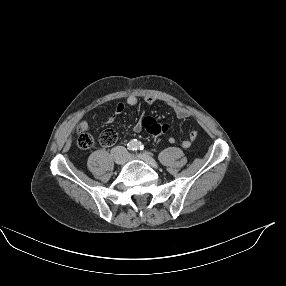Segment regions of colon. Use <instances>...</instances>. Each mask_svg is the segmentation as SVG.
I'll return each mask as SVG.
<instances>
[{"instance_id": "obj_1", "label": "colon", "mask_w": 286, "mask_h": 286, "mask_svg": "<svg viewBox=\"0 0 286 286\" xmlns=\"http://www.w3.org/2000/svg\"><path fill=\"white\" fill-rule=\"evenodd\" d=\"M144 129L156 138L168 135L169 125L167 121L161 117L148 118L144 123ZM117 133L113 129L103 131L99 136V142L103 146H111L117 141ZM77 144L82 149H91L94 144V138L91 134L79 130L77 135Z\"/></svg>"}]
</instances>
